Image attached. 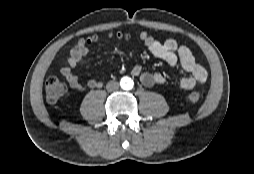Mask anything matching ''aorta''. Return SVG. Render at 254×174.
<instances>
[{"mask_svg": "<svg viewBox=\"0 0 254 174\" xmlns=\"http://www.w3.org/2000/svg\"><path fill=\"white\" fill-rule=\"evenodd\" d=\"M121 87L125 90L133 88V81L130 78H123L121 81Z\"/></svg>", "mask_w": 254, "mask_h": 174, "instance_id": "obj_1", "label": "aorta"}]
</instances>
